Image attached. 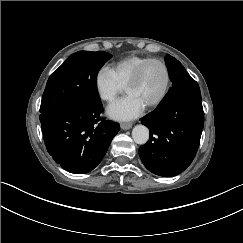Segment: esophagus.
Instances as JSON below:
<instances>
[{
  "mask_svg": "<svg viewBox=\"0 0 243 243\" xmlns=\"http://www.w3.org/2000/svg\"><path fill=\"white\" fill-rule=\"evenodd\" d=\"M120 126H121V128L123 130H128V129L132 128V124L131 123H122Z\"/></svg>",
  "mask_w": 243,
  "mask_h": 243,
  "instance_id": "34e87169",
  "label": "esophagus"
}]
</instances>
